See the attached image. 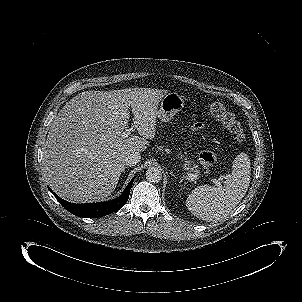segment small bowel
<instances>
[{"label":"small bowel","mask_w":302,"mask_h":302,"mask_svg":"<svg viewBox=\"0 0 302 302\" xmlns=\"http://www.w3.org/2000/svg\"><path fill=\"white\" fill-rule=\"evenodd\" d=\"M195 126H196L197 128H199V127H201V124L198 123V124H196Z\"/></svg>","instance_id":"c3829d8e"}]
</instances>
